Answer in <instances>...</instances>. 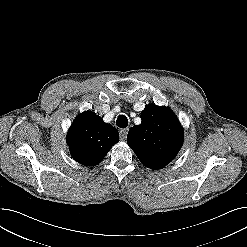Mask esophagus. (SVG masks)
<instances>
[{"instance_id": "obj_1", "label": "esophagus", "mask_w": 247, "mask_h": 247, "mask_svg": "<svg viewBox=\"0 0 247 247\" xmlns=\"http://www.w3.org/2000/svg\"><path fill=\"white\" fill-rule=\"evenodd\" d=\"M128 128H124V129H121L119 134H120V138L121 140H125L126 137H127V134H128Z\"/></svg>"}]
</instances>
